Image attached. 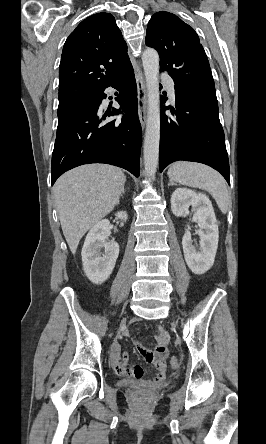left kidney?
<instances>
[{
    "label": "left kidney",
    "instance_id": "5707ae66",
    "mask_svg": "<svg viewBox=\"0 0 266 444\" xmlns=\"http://www.w3.org/2000/svg\"><path fill=\"white\" fill-rule=\"evenodd\" d=\"M193 206V220L199 226L197 234L201 242L199 250L192 244L189 228L185 229L182 246L185 261L195 274H204L214 264L219 231L214 209L209 198L203 193H197L187 188H177L171 196V209L175 216H183Z\"/></svg>",
    "mask_w": 266,
    "mask_h": 444
}]
</instances>
